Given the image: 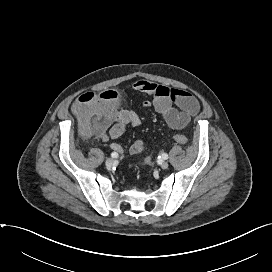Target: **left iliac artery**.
<instances>
[{
  "label": "left iliac artery",
  "instance_id": "left-iliac-artery-1",
  "mask_svg": "<svg viewBox=\"0 0 272 272\" xmlns=\"http://www.w3.org/2000/svg\"><path fill=\"white\" fill-rule=\"evenodd\" d=\"M162 159L166 160L168 158V155L166 153L162 154Z\"/></svg>",
  "mask_w": 272,
  "mask_h": 272
}]
</instances>
